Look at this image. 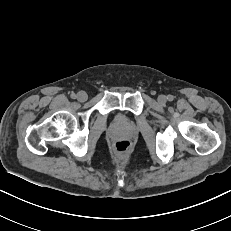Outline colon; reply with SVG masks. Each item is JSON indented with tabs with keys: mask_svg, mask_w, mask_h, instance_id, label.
I'll return each instance as SVG.
<instances>
[{
	"mask_svg": "<svg viewBox=\"0 0 231 231\" xmlns=\"http://www.w3.org/2000/svg\"><path fill=\"white\" fill-rule=\"evenodd\" d=\"M131 148V143L128 140H118L114 144V149L121 154L128 152Z\"/></svg>",
	"mask_w": 231,
	"mask_h": 231,
	"instance_id": "5ec220e1",
	"label": "colon"
}]
</instances>
